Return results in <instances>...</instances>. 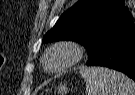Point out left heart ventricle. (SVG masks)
<instances>
[{"label": "left heart ventricle", "mask_w": 135, "mask_h": 95, "mask_svg": "<svg viewBox=\"0 0 135 95\" xmlns=\"http://www.w3.org/2000/svg\"><path fill=\"white\" fill-rule=\"evenodd\" d=\"M70 59V53L66 50H56L51 53L47 59V66L50 69H56L65 65Z\"/></svg>", "instance_id": "b2bd125f"}]
</instances>
